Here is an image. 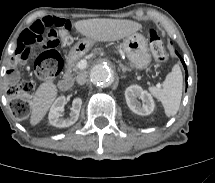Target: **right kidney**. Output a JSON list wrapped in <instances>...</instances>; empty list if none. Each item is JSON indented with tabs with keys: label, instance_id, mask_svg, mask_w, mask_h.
I'll use <instances>...</instances> for the list:
<instances>
[{
	"label": "right kidney",
	"instance_id": "right-kidney-1",
	"mask_svg": "<svg viewBox=\"0 0 215 183\" xmlns=\"http://www.w3.org/2000/svg\"><path fill=\"white\" fill-rule=\"evenodd\" d=\"M65 104L66 98L64 96L58 97L53 103L48 115L49 122L52 126L59 128L69 127L78 120L80 109L82 106L81 98H74L69 118H63L62 115Z\"/></svg>",
	"mask_w": 215,
	"mask_h": 183
}]
</instances>
